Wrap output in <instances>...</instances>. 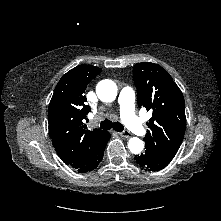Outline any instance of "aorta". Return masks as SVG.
Here are the masks:
<instances>
[{"instance_id": "obj_1", "label": "aorta", "mask_w": 221, "mask_h": 221, "mask_svg": "<svg viewBox=\"0 0 221 221\" xmlns=\"http://www.w3.org/2000/svg\"><path fill=\"white\" fill-rule=\"evenodd\" d=\"M96 94L103 102H112L117 97V86L112 80H102L97 84ZM128 148L133 154H139L144 148V142L133 137L128 142Z\"/></svg>"}]
</instances>
